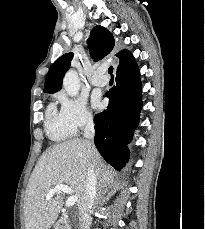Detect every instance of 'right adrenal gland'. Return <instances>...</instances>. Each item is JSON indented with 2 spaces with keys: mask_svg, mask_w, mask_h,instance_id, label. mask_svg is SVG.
<instances>
[{
  "mask_svg": "<svg viewBox=\"0 0 205 229\" xmlns=\"http://www.w3.org/2000/svg\"><path fill=\"white\" fill-rule=\"evenodd\" d=\"M103 187H106V185H104ZM105 192H106V190H105ZM103 192H102V190L100 189V191H99V198H101V194H102Z\"/></svg>",
  "mask_w": 205,
  "mask_h": 229,
  "instance_id": "obj_1",
  "label": "right adrenal gland"
}]
</instances>
